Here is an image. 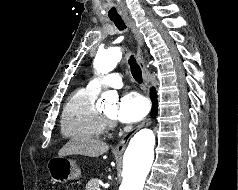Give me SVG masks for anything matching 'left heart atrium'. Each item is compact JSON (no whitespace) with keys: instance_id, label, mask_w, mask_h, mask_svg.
I'll use <instances>...</instances> for the list:
<instances>
[{"instance_id":"39dd6f15","label":"left heart atrium","mask_w":238,"mask_h":190,"mask_svg":"<svg viewBox=\"0 0 238 190\" xmlns=\"http://www.w3.org/2000/svg\"><path fill=\"white\" fill-rule=\"evenodd\" d=\"M149 110L146 98L136 92L126 93L120 100L116 118L124 123L140 121Z\"/></svg>"}]
</instances>
